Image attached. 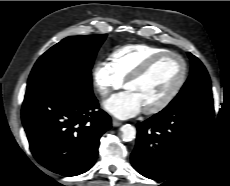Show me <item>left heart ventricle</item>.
I'll return each instance as SVG.
<instances>
[{"label": "left heart ventricle", "mask_w": 230, "mask_h": 186, "mask_svg": "<svg viewBox=\"0 0 230 186\" xmlns=\"http://www.w3.org/2000/svg\"><path fill=\"white\" fill-rule=\"evenodd\" d=\"M182 73V64L175 57L159 61L143 78L127 84L139 99L143 109L160 102L175 86Z\"/></svg>", "instance_id": "b2bd125f"}]
</instances>
